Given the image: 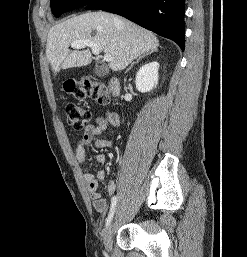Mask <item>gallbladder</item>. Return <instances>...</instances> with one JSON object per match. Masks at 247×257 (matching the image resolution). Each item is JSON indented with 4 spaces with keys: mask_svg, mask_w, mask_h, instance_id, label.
Returning <instances> with one entry per match:
<instances>
[{
    "mask_svg": "<svg viewBox=\"0 0 247 257\" xmlns=\"http://www.w3.org/2000/svg\"><path fill=\"white\" fill-rule=\"evenodd\" d=\"M94 73L98 77H104L108 73V68L104 66H96L94 69Z\"/></svg>",
    "mask_w": 247,
    "mask_h": 257,
    "instance_id": "bac80fb5",
    "label": "gallbladder"
}]
</instances>
